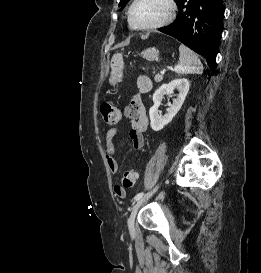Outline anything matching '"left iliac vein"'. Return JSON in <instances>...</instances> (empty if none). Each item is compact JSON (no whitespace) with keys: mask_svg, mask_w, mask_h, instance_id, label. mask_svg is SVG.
Here are the masks:
<instances>
[{"mask_svg":"<svg viewBox=\"0 0 261 273\" xmlns=\"http://www.w3.org/2000/svg\"><path fill=\"white\" fill-rule=\"evenodd\" d=\"M156 191L153 190L151 193H149L147 196H144L143 198L139 199L137 203L133 206L131 214L128 218V228L131 234L134 233L135 228H134V223H135V217L137 215L138 210L140 207L152 196Z\"/></svg>","mask_w":261,"mask_h":273,"instance_id":"1","label":"left iliac vein"}]
</instances>
